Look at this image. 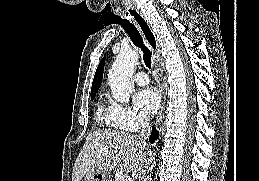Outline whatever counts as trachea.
Listing matches in <instances>:
<instances>
[{
  "label": "trachea",
  "mask_w": 259,
  "mask_h": 181,
  "mask_svg": "<svg viewBox=\"0 0 259 181\" xmlns=\"http://www.w3.org/2000/svg\"><path fill=\"white\" fill-rule=\"evenodd\" d=\"M120 25L125 30V32L128 34V36L130 37L133 44L136 47H138L139 49H141V51L143 53V61H144L145 65L148 68H151L152 54H151L150 50L145 46L142 36L140 35L136 26L128 20L123 21L122 23H120Z\"/></svg>",
  "instance_id": "3493384b"
}]
</instances>
